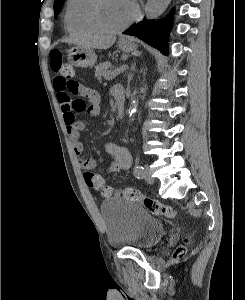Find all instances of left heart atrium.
Wrapping results in <instances>:
<instances>
[{"label":"left heart atrium","instance_id":"1","mask_svg":"<svg viewBox=\"0 0 245 300\" xmlns=\"http://www.w3.org/2000/svg\"><path fill=\"white\" fill-rule=\"evenodd\" d=\"M134 11L136 10V2L135 0H128Z\"/></svg>","mask_w":245,"mask_h":300}]
</instances>
